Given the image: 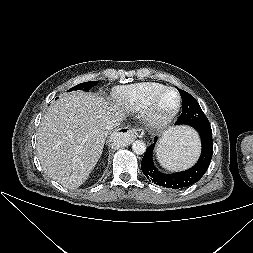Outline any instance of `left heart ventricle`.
I'll use <instances>...</instances> for the list:
<instances>
[{
    "label": "left heart ventricle",
    "instance_id": "left-heart-ventricle-1",
    "mask_svg": "<svg viewBox=\"0 0 253 253\" xmlns=\"http://www.w3.org/2000/svg\"><path fill=\"white\" fill-rule=\"evenodd\" d=\"M178 101V97L176 92L167 91L161 98L158 105V113L159 115H166L171 112L176 106Z\"/></svg>",
    "mask_w": 253,
    "mask_h": 253
}]
</instances>
